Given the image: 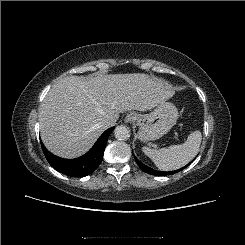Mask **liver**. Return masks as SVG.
<instances>
[{
	"mask_svg": "<svg viewBox=\"0 0 245 245\" xmlns=\"http://www.w3.org/2000/svg\"><path fill=\"white\" fill-rule=\"evenodd\" d=\"M173 95L162 79L144 73L65 77L41 104V139L51 153L76 158L106 130V120L117 121L120 113L130 110H150Z\"/></svg>",
	"mask_w": 245,
	"mask_h": 245,
	"instance_id": "1",
	"label": "liver"
}]
</instances>
